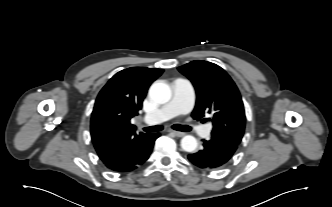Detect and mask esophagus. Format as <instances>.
<instances>
[{
  "label": "esophagus",
  "mask_w": 332,
  "mask_h": 207,
  "mask_svg": "<svg viewBox=\"0 0 332 207\" xmlns=\"http://www.w3.org/2000/svg\"><path fill=\"white\" fill-rule=\"evenodd\" d=\"M168 132L172 133L176 137H183L185 135V133L176 130H168Z\"/></svg>",
  "instance_id": "obj_1"
}]
</instances>
